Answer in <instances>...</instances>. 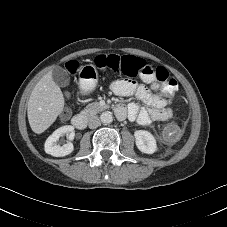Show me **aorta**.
<instances>
[{
  "instance_id": "aorta-1",
  "label": "aorta",
  "mask_w": 227,
  "mask_h": 227,
  "mask_svg": "<svg viewBox=\"0 0 227 227\" xmlns=\"http://www.w3.org/2000/svg\"><path fill=\"white\" fill-rule=\"evenodd\" d=\"M101 122L104 124H110L113 121L111 112L105 111L100 115Z\"/></svg>"
}]
</instances>
